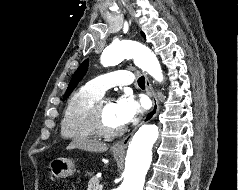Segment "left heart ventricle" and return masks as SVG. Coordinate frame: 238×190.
<instances>
[{
	"instance_id": "left-heart-ventricle-1",
	"label": "left heart ventricle",
	"mask_w": 238,
	"mask_h": 190,
	"mask_svg": "<svg viewBox=\"0 0 238 190\" xmlns=\"http://www.w3.org/2000/svg\"><path fill=\"white\" fill-rule=\"evenodd\" d=\"M104 117L106 124L111 128H117L123 126L124 123L121 121L117 111V102L109 100L105 104Z\"/></svg>"
}]
</instances>
